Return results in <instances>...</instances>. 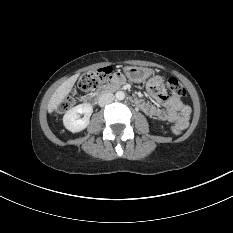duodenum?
<instances>
[{"mask_svg":"<svg viewBox=\"0 0 233 233\" xmlns=\"http://www.w3.org/2000/svg\"><path fill=\"white\" fill-rule=\"evenodd\" d=\"M117 89H118V85H114V84L107 85V86L103 87L100 91L87 95L85 97L84 101L86 103H89V104H96L101 96H103L111 91H115ZM130 99L136 105H138L140 102L139 99L134 95H131Z\"/></svg>","mask_w":233,"mask_h":233,"instance_id":"duodenum-1","label":"duodenum"}]
</instances>
